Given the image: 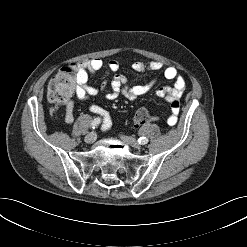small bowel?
Segmentation results:
<instances>
[{
	"instance_id": "small-bowel-1",
	"label": "small bowel",
	"mask_w": 247,
	"mask_h": 247,
	"mask_svg": "<svg viewBox=\"0 0 247 247\" xmlns=\"http://www.w3.org/2000/svg\"><path fill=\"white\" fill-rule=\"evenodd\" d=\"M77 69V86L76 96L87 103L89 110L92 113L99 115L103 120V128L109 129L112 125L110 113L103 107L91 102V99L99 93L109 89L106 94V98L109 101L117 99L120 95L125 96L129 100L147 94L151 91L155 81H152L143 85H130L128 79L120 75L119 63L117 60H110L107 64L108 69L113 74L111 78L105 80L101 87H94L89 84L90 75L100 71L104 67V62L100 58H93L88 61L79 62L75 65ZM163 69V77L168 80H173L172 87H160L154 91L155 97L166 100L171 106V115L168 118L170 124L176 120L179 108L174 109L172 107L175 101L180 100L186 88L185 78L180 74L179 70L175 66H167L163 68V64L159 61L134 62L132 64V70L135 73L153 72ZM65 115L64 121L67 124H71L74 121V102L68 101L64 103Z\"/></svg>"
}]
</instances>
